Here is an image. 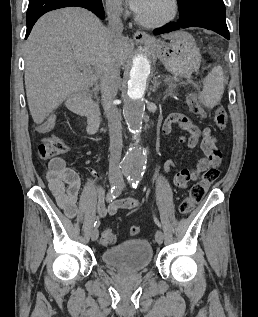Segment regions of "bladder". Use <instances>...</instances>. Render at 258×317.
Masks as SVG:
<instances>
[{"instance_id":"bladder-1","label":"bladder","mask_w":258,"mask_h":317,"mask_svg":"<svg viewBox=\"0 0 258 317\" xmlns=\"http://www.w3.org/2000/svg\"><path fill=\"white\" fill-rule=\"evenodd\" d=\"M152 256V246L148 241L130 240L106 249L102 253V260L118 269L139 271L148 267Z\"/></svg>"}]
</instances>
